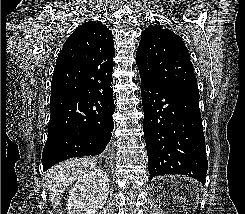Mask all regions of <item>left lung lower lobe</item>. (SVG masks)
I'll return each mask as SVG.
<instances>
[{
	"label": "left lung lower lobe",
	"mask_w": 245,
	"mask_h": 214,
	"mask_svg": "<svg viewBox=\"0 0 245 214\" xmlns=\"http://www.w3.org/2000/svg\"><path fill=\"white\" fill-rule=\"evenodd\" d=\"M140 77L150 178L181 174L204 184L208 161L198 89Z\"/></svg>",
	"instance_id": "obj_1"
}]
</instances>
